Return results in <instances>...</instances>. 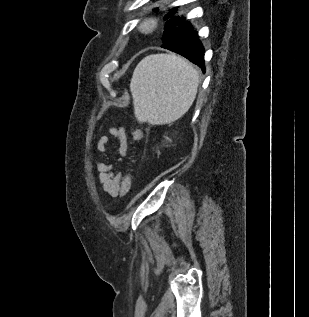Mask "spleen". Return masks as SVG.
<instances>
[{
	"instance_id": "3e777b00",
	"label": "spleen",
	"mask_w": 309,
	"mask_h": 317,
	"mask_svg": "<svg viewBox=\"0 0 309 317\" xmlns=\"http://www.w3.org/2000/svg\"><path fill=\"white\" fill-rule=\"evenodd\" d=\"M199 73L191 63L174 54H153L136 66L130 83L134 114L138 121L168 124L192 106Z\"/></svg>"
}]
</instances>
